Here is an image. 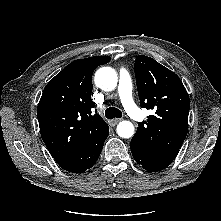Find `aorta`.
Segmentation results:
<instances>
[{"instance_id":"762f6f07","label":"aorta","mask_w":221,"mask_h":221,"mask_svg":"<svg viewBox=\"0 0 221 221\" xmlns=\"http://www.w3.org/2000/svg\"><path fill=\"white\" fill-rule=\"evenodd\" d=\"M94 81L100 89L112 91L117 86V73L111 67H102L96 71ZM117 134L122 138H131L134 135L133 124L130 121H121L117 126Z\"/></svg>"}]
</instances>
